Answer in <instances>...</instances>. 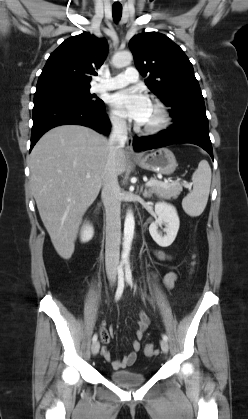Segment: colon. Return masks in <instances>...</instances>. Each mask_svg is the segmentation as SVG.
Wrapping results in <instances>:
<instances>
[{"instance_id": "5ec220e1", "label": "colon", "mask_w": 248, "mask_h": 419, "mask_svg": "<svg viewBox=\"0 0 248 419\" xmlns=\"http://www.w3.org/2000/svg\"><path fill=\"white\" fill-rule=\"evenodd\" d=\"M195 265V264H194ZM145 354L147 356H153L156 353L155 347L153 344L149 343L145 346L144 350Z\"/></svg>"}]
</instances>
